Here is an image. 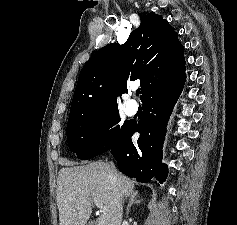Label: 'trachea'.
I'll use <instances>...</instances> for the list:
<instances>
[{
    "label": "trachea",
    "mask_w": 237,
    "mask_h": 225,
    "mask_svg": "<svg viewBox=\"0 0 237 225\" xmlns=\"http://www.w3.org/2000/svg\"><path fill=\"white\" fill-rule=\"evenodd\" d=\"M140 94V90H137L136 91V95L138 96Z\"/></svg>",
    "instance_id": "obj_1"
}]
</instances>
